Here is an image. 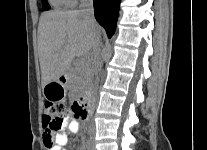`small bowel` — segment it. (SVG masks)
<instances>
[{
	"label": "small bowel",
	"instance_id": "obj_1",
	"mask_svg": "<svg viewBox=\"0 0 207 150\" xmlns=\"http://www.w3.org/2000/svg\"><path fill=\"white\" fill-rule=\"evenodd\" d=\"M65 131L51 134L52 145L47 147L48 150H66L68 136L79 129V123L75 119H67L65 122ZM46 138H44L45 143Z\"/></svg>",
	"mask_w": 207,
	"mask_h": 150
}]
</instances>
